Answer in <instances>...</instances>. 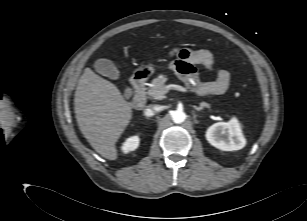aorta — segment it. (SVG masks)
<instances>
[{
  "label": "aorta",
  "instance_id": "1",
  "mask_svg": "<svg viewBox=\"0 0 307 221\" xmlns=\"http://www.w3.org/2000/svg\"><path fill=\"white\" fill-rule=\"evenodd\" d=\"M170 115L173 122L177 124L184 122L186 119V114L182 109L179 108L177 110L171 111Z\"/></svg>",
  "mask_w": 307,
  "mask_h": 221
}]
</instances>
